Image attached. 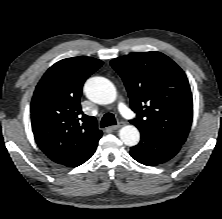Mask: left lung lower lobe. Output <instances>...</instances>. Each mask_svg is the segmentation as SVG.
I'll return each mask as SVG.
<instances>
[{"label":"left lung lower lobe","instance_id":"0a47b994","mask_svg":"<svg viewBox=\"0 0 222 219\" xmlns=\"http://www.w3.org/2000/svg\"><path fill=\"white\" fill-rule=\"evenodd\" d=\"M141 140L138 145L131 147L130 155L139 163L155 166L174 157L181 145L164 139L147 131H140Z\"/></svg>","mask_w":222,"mask_h":219}]
</instances>
